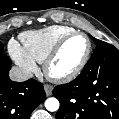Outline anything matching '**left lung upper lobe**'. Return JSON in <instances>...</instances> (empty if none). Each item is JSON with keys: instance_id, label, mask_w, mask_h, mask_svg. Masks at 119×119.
I'll return each mask as SVG.
<instances>
[{"instance_id": "1", "label": "left lung upper lobe", "mask_w": 119, "mask_h": 119, "mask_svg": "<svg viewBox=\"0 0 119 119\" xmlns=\"http://www.w3.org/2000/svg\"><path fill=\"white\" fill-rule=\"evenodd\" d=\"M91 38L96 43V49L94 50L93 55L100 52L103 48H105L109 45L108 43L101 41V40H98L92 36H91Z\"/></svg>"}]
</instances>
